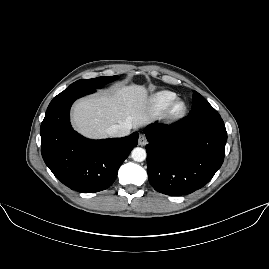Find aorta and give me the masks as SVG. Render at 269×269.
Listing matches in <instances>:
<instances>
[{
	"instance_id": "1",
	"label": "aorta",
	"mask_w": 269,
	"mask_h": 269,
	"mask_svg": "<svg viewBox=\"0 0 269 269\" xmlns=\"http://www.w3.org/2000/svg\"><path fill=\"white\" fill-rule=\"evenodd\" d=\"M131 156L134 161L143 162L146 159V151L143 148H135Z\"/></svg>"
}]
</instances>
